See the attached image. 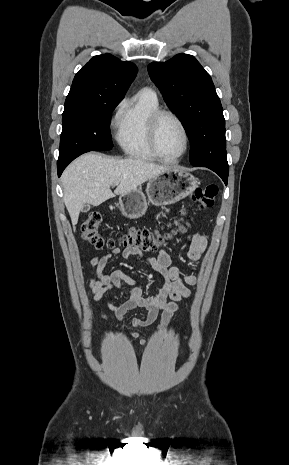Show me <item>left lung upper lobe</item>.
Returning <instances> with one entry per match:
<instances>
[{
  "instance_id": "left-lung-upper-lobe-1",
  "label": "left lung upper lobe",
  "mask_w": 289,
  "mask_h": 465,
  "mask_svg": "<svg viewBox=\"0 0 289 465\" xmlns=\"http://www.w3.org/2000/svg\"><path fill=\"white\" fill-rule=\"evenodd\" d=\"M150 78L180 118L190 140L193 166L229 169L225 119L210 75L191 55L148 65Z\"/></svg>"
}]
</instances>
